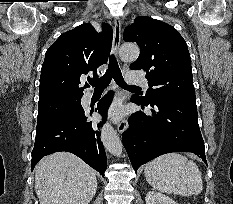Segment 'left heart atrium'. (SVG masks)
I'll list each match as a JSON object with an SVG mask.
<instances>
[{
  "mask_svg": "<svg viewBox=\"0 0 233 204\" xmlns=\"http://www.w3.org/2000/svg\"><path fill=\"white\" fill-rule=\"evenodd\" d=\"M122 110L119 105H114L110 111L111 116L114 119H118L121 116Z\"/></svg>",
  "mask_w": 233,
  "mask_h": 204,
  "instance_id": "obj_1",
  "label": "left heart atrium"
}]
</instances>
